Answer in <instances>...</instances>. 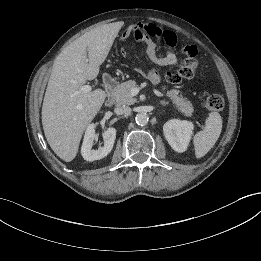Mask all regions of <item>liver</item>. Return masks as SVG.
Wrapping results in <instances>:
<instances>
[{"mask_svg":"<svg viewBox=\"0 0 261 261\" xmlns=\"http://www.w3.org/2000/svg\"><path fill=\"white\" fill-rule=\"evenodd\" d=\"M119 30L113 23L83 34L62 50L53 64L42 105V125L51 149L66 162L76 157L85 129L107 97L102 89L83 92L81 87L98 76Z\"/></svg>","mask_w":261,"mask_h":261,"instance_id":"6515ba94","label":"liver"}]
</instances>
